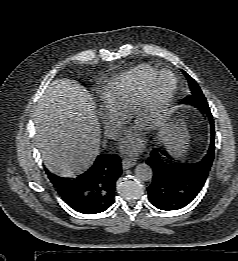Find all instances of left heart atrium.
<instances>
[{
    "mask_svg": "<svg viewBox=\"0 0 238 261\" xmlns=\"http://www.w3.org/2000/svg\"><path fill=\"white\" fill-rule=\"evenodd\" d=\"M145 147V140L139 130L129 133L120 142V150L127 155L134 156L139 154Z\"/></svg>",
    "mask_w": 238,
    "mask_h": 261,
    "instance_id": "left-heart-atrium-1",
    "label": "left heart atrium"
}]
</instances>
